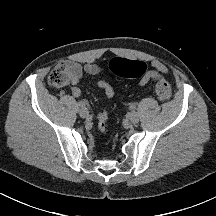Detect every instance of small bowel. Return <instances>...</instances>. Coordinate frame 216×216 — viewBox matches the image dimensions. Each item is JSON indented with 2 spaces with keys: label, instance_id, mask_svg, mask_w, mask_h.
Returning a JSON list of instances; mask_svg holds the SVG:
<instances>
[{
  "label": "small bowel",
  "instance_id": "1",
  "mask_svg": "<svg viewBox=\"0 0 216 216\" xmlns=\"http://www.w3.org/2000/svg\"><path fill=\"white\" fill-rule=\"evenodd\" d=\"M64 64L68 69L70 91L74 97H79L81 95L79 84L85 74L98 75L102 71L101 67L95 63H86L84 65H81L74 61H65ZM150 66L152 69L146 71L140 78V86H145L150 82H154L168 73L167 66L159 60H152L150 62ZM97 86L104 91L108 99L114 97V89L108 81L100 80L97 82Z\"/></svg>",
  "mask_w": 216,
  "mask_h": 216
}]
</instances>
